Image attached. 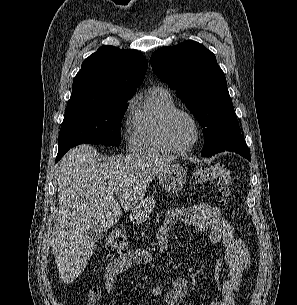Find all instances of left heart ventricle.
Listing matches in <instances>:
<instances>
[{
  "instance_id": "b2bd125f",
  "label": "left heart ventricle",
  "mask_w": 297,
  "mask_h": 305,
  "mask_svg": "<svg viewBox=\"0 0 297 305\" xmlns=\"http://www.w3.org/2000/svg\"><path fill=\"white\" fill-rule=\"evenodd\" d=\"M168 131L172 143L178 147L189 145L195 138V129L192 122L181 114L172 118Z\"/></svg>"
}]
</instances>
